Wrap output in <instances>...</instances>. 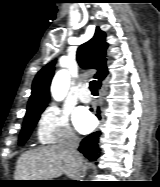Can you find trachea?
Wrapping results in <instances>:
<instances>
[{
	"label": "trachea",
	"instance_id": "trachea-1",
	"mask_svg": "<svg viewBox=\"0 0 160 187\" xmlns=\"http://www.w3.org/2000/svg\"><path fill=\"white\" fill-rule=\"evenodd\" d=\"M89 89L92 93H97V82L95 80L89 83Z\"/></svg>",
	"mask_w": 160,
	"mask_h": 187
}]
</instances>
